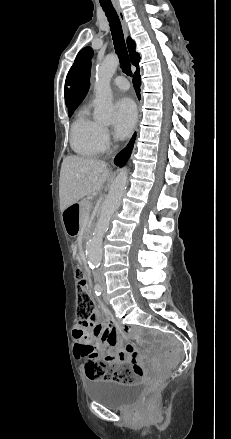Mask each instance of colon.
Instances as JSON below:
<instances>
[{
  "label": "colon",
  "mask_w": 231,
  "mask_h": 439,
  "mask_svg": "<svg viewBox=\"0 0 231 439\" xmlns=\"http://www.w3.org/2000/svg\"><path fill=\"white\" fill-rule=\"evenodd\" d=\"M76 286L78 291L77 316L81 322L87 323L93 317L94 301L90 293L87 291L86 279L80 269L76 270ZM130 327H123L124 333L131 332ZM85 362V369L88 378L92 380L112 379L119 383H128L134 379V376L140 375L141 368L138 365L119 366L113 372H109L108 364L106 362L97 361L95 356L91 353ZM165 377L159 376L147 380L146 389L140 398L141 405H147L155 397L157 391L161 387Z\"/></svg>",
  "instance_id": "1"
}]
</instances>
